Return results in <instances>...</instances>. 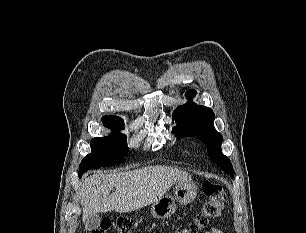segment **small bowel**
Returning <instances> with one entry per match:
<instances>
[{
    "label": "small bowel",
    "instance_id": "obj_1",
    "mask_svg": "<svg viewBox=\"0 0 306 233\" xmlns=\"http://www.w3.org/2000/svg\"><path fill=\"white\" fill-rule=\"evenodd\" d=\"M205 233H223V231L212 227L210 230L206 231Z\"/></svg>",
    "mask_w": 306,
    "mask_h": 233
}]
</instances>
